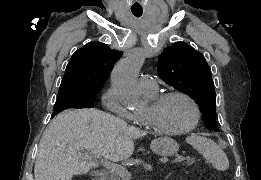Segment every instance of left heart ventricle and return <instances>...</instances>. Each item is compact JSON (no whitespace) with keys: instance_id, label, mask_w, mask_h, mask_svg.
<instances>
[{"instance_id":"left-heart-ventricle-1","label":"left heart ventricle","mask_w":261,"mask_h":180,"mask_svg":"<svg viewBox=\"0 0 261 180\" xmlns=\"http://www.w3.org/2000/svg\"><path fill=\"white\" fill-rule=\"evenodd\" d=\"M144 98L147 105L135 113L136 117L150 125L158 135L179 133L191 124L194 110L184 98L170 97L155 108H151L148 99Z\"/></svg>"}]
</instances>
